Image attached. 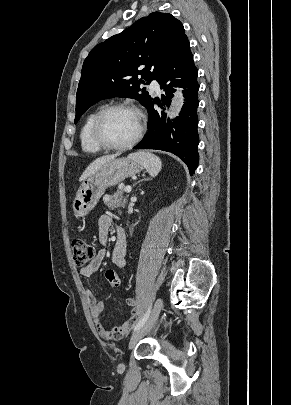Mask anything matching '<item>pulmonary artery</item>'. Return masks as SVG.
Instances as JSON below:
<instances>
[{
    "label": "pulmonary artery",
    "instance_id": "e3ab8cb5",
    "mask_svg": "<svg viewBox=\"0 0 291 405\" xmlns=\"http://www.w3.org/2000/svg\"><path fill=\"white\" fill-rule=\"evenodd\" d=\"M150 90L158 93L160 91L159 83L156 80H152L150 83Z\"/></svg>",
    "mask_w": 291,
    "mask_h": 405
}]
</instances>
